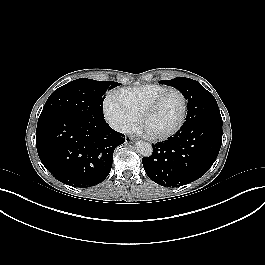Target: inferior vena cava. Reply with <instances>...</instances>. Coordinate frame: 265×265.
Instances as JSON below:
<instances>
[{
  "mask_svg": "<svg viewBox=\"0 0 265 265\" xmlns=\"http://www.w3.org/2000/svg\"><path fill=\"white\" fill-rule=\"evenodd\" d=\"M109 124L114 130L118 132L126 133L128 131L127 125L122 121L112 119L109 121Z\"/></svg>",
  "mask_w": 265,
  "mask_h": 265,
  "instance_id": "obj_1",
  "label": "inferior vena cava"
}]
</instances>
